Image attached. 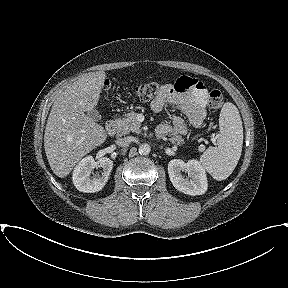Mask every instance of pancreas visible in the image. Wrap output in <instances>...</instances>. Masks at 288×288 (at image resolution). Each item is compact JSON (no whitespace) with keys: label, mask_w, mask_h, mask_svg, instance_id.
<instances>
[{"label":"pancreas","mask_w":288,"mask_h":288,"mask_svg":"<svg viewBox=\"0 0 288 288\" xmlns=\"http://www.w3.org/2000/svg\"><path fill=\"white\" fill-rule=\"evenodd\" d=\"M136 116L137 114L135 112H130L126 114L124 118H118L115 120L118 136L127 135L130 132L137 134L141 132V124L136 120ZM170 141L177 145H182L184 143V139L178 134L171 137Z\"/></svg>","instance_id":"cf45deb5"}]
</instances>
